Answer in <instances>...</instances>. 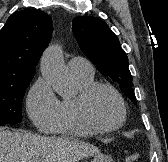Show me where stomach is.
<instances>
[{
	"instance_id": "0dacf381",
	"label": "stomach",
	"mask_w": 168,
	"mask_h": 162,
	"mask_svg": "<svg viewBox=\"0 0 168 162\" xmlns=\"http://www.w3.org/2000/svg\"><path fill=\"white\" fill-rule=\"evenodd\" d=\"M90 162H113V159L108 155L99 154L94 156L93 160H91Z\"/></svg>"
}]
</instances>
